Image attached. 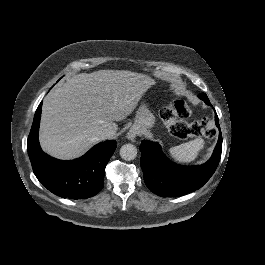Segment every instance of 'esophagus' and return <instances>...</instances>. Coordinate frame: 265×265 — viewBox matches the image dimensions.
Instances as JSON below:
<instances>
[{
  "label": "esophagus",
  "mask_w": 265,
  "mask_h": 265,
  "mask_svg": "<svg viewBox=\"0 0 265 265\" xmlns=\"http://www.w3.org/2000/svg\"><path fill=\"white\" fill-rule=\"evenodd\" d=\"M136 136L137 131L134 128H131L126 134V138L131 141L134 140Z\"/></svg>",
  "instance_id": "1"
}]
</instances>
